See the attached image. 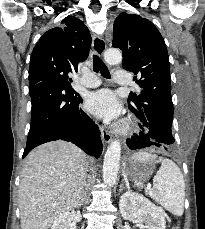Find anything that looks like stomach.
<instances>
[{
  "mask_svg": "<svg viewBox=\"0 0 205 229\" xmlns=\"http://www.w3.org/2000/svg\"><path fill=\"white\" fill-rule=\"evenodd\" d=\"M152 164V163H151ZM148 167L146 164L143 163H135L128 166L125 170L126 174L136 178V177H143L146 175Z\"/></svg>",
  "mask_w": 205,
  "mask_h": 229,
  "instance_id": "obj_1",
  "label": "stomach"
}]
</instances>
